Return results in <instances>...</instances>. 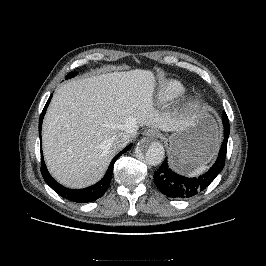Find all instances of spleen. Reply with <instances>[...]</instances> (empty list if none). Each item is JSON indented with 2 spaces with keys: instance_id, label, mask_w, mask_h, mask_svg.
Here are the masks:
<instances>
[{
  "instance_id": "spleen-1",
  "label": "spleen",
  "mask_w": 266,
  "mask_h": 266,
  "mask_svg": "<svg viewBox=\"0 0 266 266\" xmlns=\"http://www.w3.org/2000/svg\"><path fill=\"white\" fill-rule=\"evenodd\" d=\"M208 169V166H200L197 169H195L190 175H199L203 172H205Z\"/></svg>"
}]
</instances>
